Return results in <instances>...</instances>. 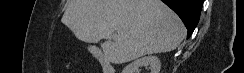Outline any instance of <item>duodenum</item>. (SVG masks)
<instances>
[{"label":"duodenum","mask_w":244,"mask_h":73,"mask_svg":"<svg viewBox=\"0 0 244 73\" xmlns=\"http://www.w3.org/2000/svg\"><path fill=\"white\" fill-rule=\"evenodd\" d=\"M96 56L100 61L104 73H113L112 66L103 53L96 51Z\"/></svg>","instance_id":"obj_1"}]
</instances>
